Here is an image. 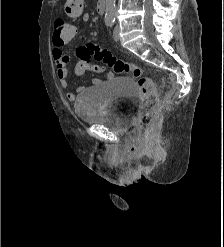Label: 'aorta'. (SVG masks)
<instances>
[{"instance_id": "1", "label": "aorta", "mask_w": 224, "mask_h": 247, "mask_svg": "<svg viewBox=\"0 0 224 247\" xmlns=\"http://www.w3.org/2000/svg\"><path fill=\"white\" fill-rule=\"evenodd\" d=\"M105 6V18L107 20H114L116 12L115 0H105Z\"/></svg>"}]
</instances>
